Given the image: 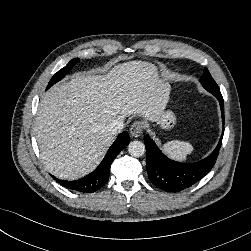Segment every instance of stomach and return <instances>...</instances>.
Listing matches in <instances>:
<instances>
[{"mask_svg": "<svg viewBox=\"0 0 251 251\" xmlns=\"http://www.w3.org/2000/svg\"><path fill=\"white\" fill-rule=\"evenodd\" d=\"M161 128L169 130L174 127L176 117L171 110L164 111L156 122Z\"/></svg>", "mask_w": 251, "mask_h": 251, "instance_id": "0dacf381", "label": "stomach"}]
</instances>
